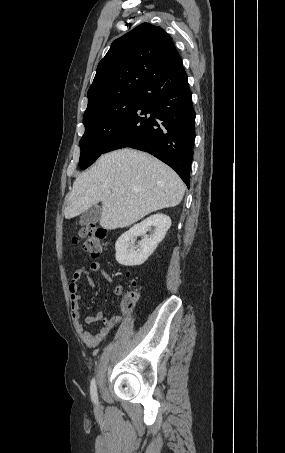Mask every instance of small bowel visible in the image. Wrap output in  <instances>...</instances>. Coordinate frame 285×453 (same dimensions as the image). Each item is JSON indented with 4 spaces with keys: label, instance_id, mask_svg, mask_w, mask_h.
I'll use <instances>...</instances> for the list:
<instances>
[{
    "label": "small bowel",
    "instance_id": "1",
    "mask_svg": "<svg viewBox=\"0 0 285 453\" xmlns=\"http://www.w3.org/2000/svg\"><path fill=\"white\" fill-rule=\"evenodd\" d=\"M99 272L102 278L110 282L111 276L103 271L100 268L98 263H90L87 266H80L78 267L73 275L72 279L69 283V295H70V304H71V315L73 319L74 326L76 331L81 339V341L90 348L96 347L101 341L105 339L108 335L110 330L119 322L120 317L115 316L111 318H105L103 313L98 312L96 314L87 316L84 321L81 320V313H80V295L78 294V282L80 279L85 278L89 287H94V281L91 278V274ZM102 322L103 326L96 332L92 333L85 328L86 324H92Z\"/></svg>",
    "mask_w": 285,
    "mask_h": 453
}]
</instances>
